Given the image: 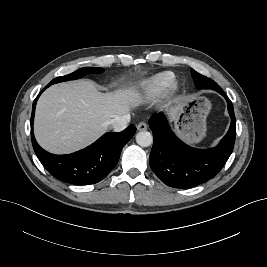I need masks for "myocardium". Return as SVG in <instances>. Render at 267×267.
Returning a JSON list of instances; mask_svg holds the SVG:
<instances>
[{
    "mask_svg": "<svg viewBox=\"0 0 267 267\" xmlns=\"http://www.w3.org/2000/svg\"><path fill=\"white\" fill-rule=\"evenodd\" d=\"M177 83H173L169 88H168V90L170 91V92H175L176 90H177Z\"/></svg>",
    "mask_w": 267,
    "mask_h": 267,
    "instance_id": "myocardium-1",
    "label": "myocardium"
}]
</instances>
